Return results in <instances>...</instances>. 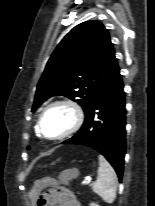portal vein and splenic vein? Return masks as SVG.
Wrapping results in <instances>:
<instances>
[{
    "instance_id": "portal-vein-and-splenic-vein-1",
    "label": "portal vein and splenic vein",
    "mask_w": 155,
    "mask_h": 206,
    "mask_svg": "<svg viewBox=\"0 0 155 206\" xmlns=\"http://www.w3.org/2000/svg\"><path fill=\"white\" fill-rule=\"evenodd\" d=\"M89 182H82V185H89Z\"/></svg>"
}]
</instances>
